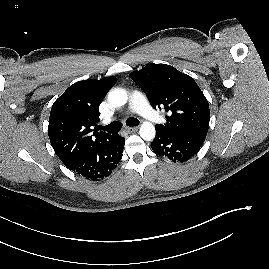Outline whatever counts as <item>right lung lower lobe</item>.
Segmentation results:
<instances>
[{"label":"right lung lower lobe","mask_w":269,"mask_h":269,"mask_svg":"<svg viewBox=\"0 0 269 269\" xmlns=\"http://www.w3.org/2000/svg\"><path fill=\"white\" fill-rule=\"evenodd\" d=\"M124 144L123 137L118 134L111 135L66 167L89 180L103 179L111 174L121 160Z\"/></svg>","instance_id":"1"}]
</instances>
